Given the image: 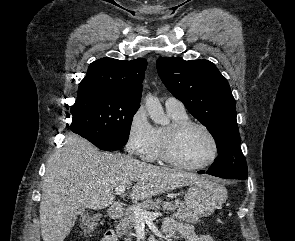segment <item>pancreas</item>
I'll list each match as a JSON object with an SVG mask.
<instances>
[{"label": "pancreas", "instance_id": "pancreas-1", "mask_svg": "<svg viewBox=\"0 0 295 241\" xmlns=\"http://www.w3.org/2000/svg\"><path fill=\"white\" fill-rule=\"evenodd\" d=\"M136 207L141 208L143 211H149V210H155L156 212L158 210L163 211H171L174 212L173 216L181 221L190 222L192 224H195L199 222V216H197L195 213L190 211L183 202L179 200H175L173 202L168 201H161V200H145L144 202L140 204H134L130 207H128L124 212V217L121 218V221L118 225H116V233L118 236H124L126 235L127 238H125V241H132L131 237L135 236L134 233H132V228L135 227L137 219L135 218L134 209Z\"/></svg>", "mask_w": 295, "mask_h": 241}]
</instances>
